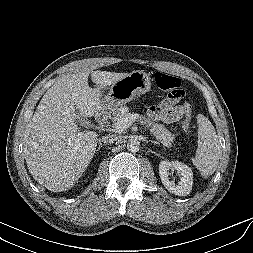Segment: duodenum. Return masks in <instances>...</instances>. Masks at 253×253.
I'll list each match as a JSON object with an SVG mask.
<instances>
[{
	"instance_id": "1",
	"label": "duodenum",
	"mask_w": 253,
	"mask_h": 253,
	"mask_svg": "<svg viewBox=\"0 0 253 253\" xmlns=\"http://www.w3.org/2000/svg\"><path fill=\"white\" fill-rule=\"evenodd\" d=\"M104 120H105V117L102 113L97 114V116H96L97 123L102 125L104 123Z\"/></svg>"
}]
</instances>
